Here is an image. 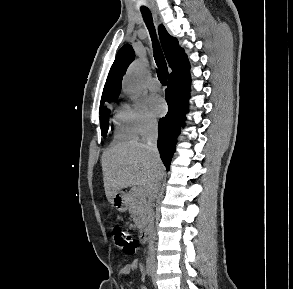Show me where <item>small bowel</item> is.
I'll use <instances>...</instances> for the list:
<instances>
[{"mask_svg": "<svg viewBox=\"0 0 293 289\" xmlns=\"http://www.w3.org/2000/svg\"><path fill=\"white\" fill-rule=\"evenodd\" d=\"M138 267H139V264H138L137 262H132V263L129 264L128 270H121V271L119 272V275H120L121 277H124V276H126V275L128 274V271H134V270H136ZM143 289H144V288H143Z\"/></svg>", "mask_w": 293, "mask_h": 289, "instance_id": "small-bowel-1", "label": "small bowel"}]
</instances>
